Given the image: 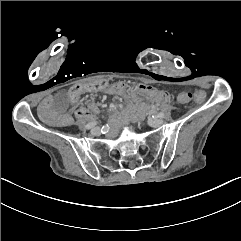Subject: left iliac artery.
<instances>
[{"mask_svg": "<svg viewBox=\"0 0 241 241\" xmlns=\"http://www.w3.org/2000/svg\"><path fill=\"white\" fill-rule=\"evenodd\" d=\"M157 117L163 118V117H164V114H163V113H158Z\"/></svg>", "mask_w": 241, "mask_h": 241, "instance_id": "1", "label": "left iliac artery"}]
</instances>
